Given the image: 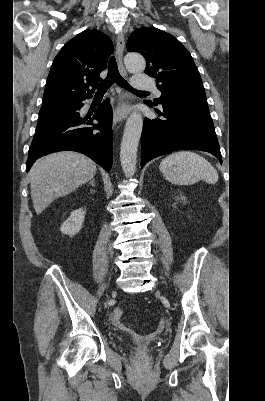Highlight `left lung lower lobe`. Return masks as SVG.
<instances>
[{"instance_id": "obj_1", "label": "left lung lower lobe", "mask_w": 265, "mask_h": 401, "mask_svg": "<svg viewBox=\"0 0 265 401\" xmlns=\"http://www.w3.org/2000/svg\"><path fill=\"white\" fill-rule=\"evenodd\" d=\"M149 106L151 104L146 102ZM164 118H145L141 135V167L176 150L195 149L222 156L206 100L182 99L161 103Z\"/></svg>"}]
</instances>
